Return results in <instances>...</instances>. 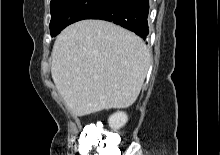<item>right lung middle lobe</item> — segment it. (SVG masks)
Returning <instances> with one entry per match:
<instances>
[{"instance_id": "dd1d6c3e", "label": "right lung middle lobe", "mask_w": 220, "mask_h": 155, "mask_svg": "<svg viewBox=\"0 0 220 155\" xmlns=\"http://www.w3.org/2000/svg\"><path fill=\"white\" fill-rule=\"evenodd\" d=\"M118 0H53L50 3V33L57 36L66 26L86 19L89 15L106 8Z\"/></svg>"}]
</instances>
